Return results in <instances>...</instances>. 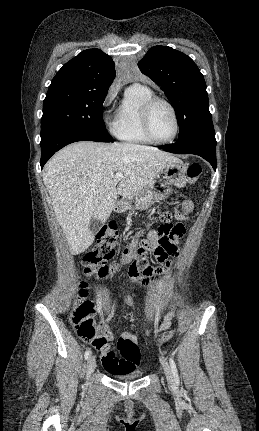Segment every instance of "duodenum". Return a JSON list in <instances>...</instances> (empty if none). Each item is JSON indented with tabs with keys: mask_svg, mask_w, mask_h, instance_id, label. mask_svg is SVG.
I'll list each match as a JSON object with an SVG mask.
<instances>
[{
	"mask_svg": "<svg viewBox=\"0 0 259 431\" xmlns=\"http://www.w3.org/2000/svg\"><path fill=\"white\" fill-rule=\"evenodd\" d=\"M124 204L122 203V202H118L117 204H116V206H115V209L117 210V211H120V210H122V209H124Z\"/></svg>",
	"mask_w": 259,
	"mask_h": 431,
	"instance_id": "410a0bca",
	"label": "duodenum"
}]
</instances>
